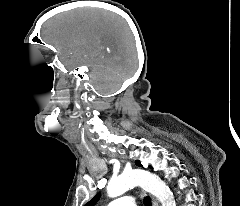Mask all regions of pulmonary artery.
Segmentation results:
<instances>
[{
	"instance_id": "e3ab8cb5",
	"label": "pulmonary artery",
	"mask_w": 240,
	"mask_h": 206,
	"mask_svg": "<svg viewBox=\"0 0 240 206\" xmlns=\"http://www.w3.org/2000/svg\"><path fill=\"white\" fill-rule=\"evenodd\" d=\"M107 206H136V203L133 197L123 196L111 201Z\"/></svg>"
}]
</instances>
